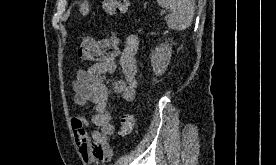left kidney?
<instances>
[{
    "instance_id": "obj_1",
    "label": "left kidney",
    "mask_w": 276,
    "mask_h": 165,
    "mask_svg": "<svg viewBox=\"0 0 276 165\" xmlns=\"http://www.w3.org/2000/svg\"><path fill=\"white\" fill-rule=\"evenodd\" d=\"M172 54V47L168 42L161 43L151 55V66L156 76H161L167 69Z\"/></svg>"
}]
</instances>
